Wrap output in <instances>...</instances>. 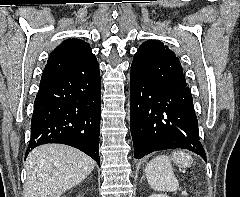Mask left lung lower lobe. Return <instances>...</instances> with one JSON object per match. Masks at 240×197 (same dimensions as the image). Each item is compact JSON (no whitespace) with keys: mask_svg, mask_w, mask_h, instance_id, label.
I'll use <instances>...</instances> for the list:
<instances>
[{"mask_svg":"<svg viewBox=\"0 0 240 197\" xmlns=\"http://www.w3.org/2000/svg\"><path fill=\"white\" fill-rule=\"evenodd\" d=\"M131 134L135 158L158 150L182 148L200 155L198 121L185 76L131 67Z\"/></svg>","mask_w":240,"mask_h":197,"instance_id":"obj_1","label":"left lung lower lobe"}]
</instances>
